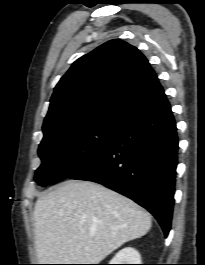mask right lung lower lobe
<instances>
[{
	"label": "right lung lower lobe",
	"instance_id": "obj_1",
	"mask_svg": "<svg viewBox=\"0 0 205 265\" xmlns=\"http://www.w3.org/2000/svg\"><path fill=\"white\" fill-rule=\"evenodd\" d=\"M175 119L165 94L122 122L111 142L70 176L115 190L146 208L165 237L171 227L177 166Z\"/></svg>",
	"mask_w": 205,
	"mask_h": 265
}]
</instances>
